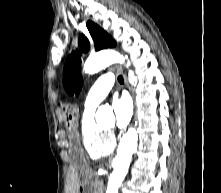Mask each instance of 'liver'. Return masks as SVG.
Returning <instances> with one entry per match:
<instances>
[{
    "label": "liver",
    "mask_w": 221,
    "mask_h": 193,
    "mask_svg": "<svg viewBox=\"0 0 221 193\" xmlns=\"http://www.w3.org/2000/svg\"><path fill=\"white\" fill-rule=\"evenodd\" d=\"M80 187V177L77 172H73L70 181V193H77Z\"/></svg>",
    "instance_id": "obj_1"
}]
</instances>
